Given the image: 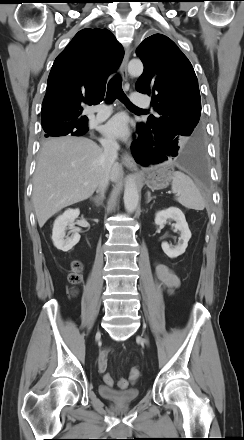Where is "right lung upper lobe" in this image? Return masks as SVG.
<instances>
[{"label": "right lung upper lobe", "instance_id": "cb5924a9", "mask_svg": "<svg viewBox=\"0 0 244 440\" xmlns=\"http://www.w3.org/2000/svg\"><path fill=\"white\" fill-rule=\"evenodd\" d=\"M123 56V47L109 30L79 31L53 63L42 103V124L87 125L83 108L103 100L107 78Z\"/></svg>", "mask_w": 244, "mask_h": 440}]
</instances>
